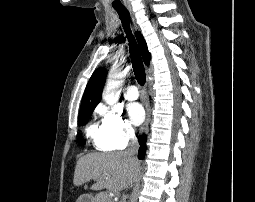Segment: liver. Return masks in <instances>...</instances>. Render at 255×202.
<instances>
[{"instance_id": "6515ba94", "label": "liver", "mask_w": 255, "mask_h": 202, "mask_svg": "<svg viewBox=\"0 0 255 202\" xmlns=\"http://www.w3.org/2000/svg\"><path fill=\"white\" fill-rule=\"evenodd\" d=\"M139 169V163L132 162L125 153H92L77 161L73 183L81 186L94 179L97 183L92 189L118 192L134 183Z\"/></svg>"}]
</instances>
